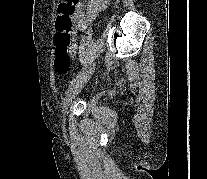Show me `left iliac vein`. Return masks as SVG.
Returning a JSON list of instances; mask_svg holds the SVG:
<instances>
[{"instance_id":"4c4485c4","label":"left iliac vein","mask_w":207,"mask_h":179,"mask_svg":"<svg viewBox=\"0 0 207 179\" xmlns=\"http://www.w3.org/2000/svg\"><path fill=\"white\" fill-rule=\"evenodd\" d=\"M95 64H93L82 76L79 78L75 84L68 91L64 103H63V112L67 114L68 108L71 105L72 101L76 98V96L80 93L83 86L88 82L94 73Z\"/></svg>"}]
</instances>
